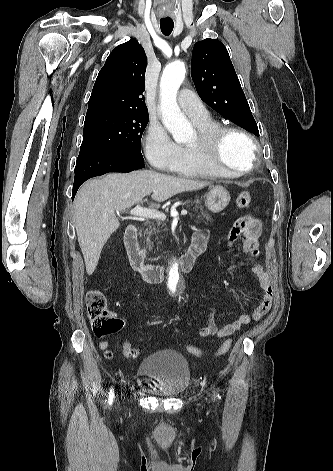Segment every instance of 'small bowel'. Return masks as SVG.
Instances as JSON below:
<instances>
[{"label":"small bowel","mask_w":333,"mask_h":471,"mask_svg":"<svg viewBox=\"0 0 333 471\" xmlns=\"http://www.w3.org/2000/svg\"><path fill=\"white\" fill-rule=\"evenodd\" d=\"M262 231V224L261 222L253 218L252 216H242L240 217L236 223L234 224L233 228L229 232L228 235V242L230 248L233 250L234 244L242 238L243 240V251L247 254L257 256L259 255V236ZM207 235L202 232H196L192 237V242L195 243H203L205 248L207 246ZM252 273L256 276L259 282V286L261 289V297L258 306L253 311L251 315L249 314H242L237 320L228 323L221 328L218 327L215 321V310L212 309L208 320L205 325L200 327L199 335L203 338H208L215 336L217 338H225L232 335L234 332L240 330L244 326L248 325L252 321L259 320L271 308L272 300H273V288L271 277L265 267L262 264H255L252 267ZM162 319L152 320L146 322L147 325H157L162 323ZM99 348L104 351V356L107 359H111L113 357V352L109 350V344L106 340H101L99 342Z\"/></svg>","instance_id":"1"}]
</instances>
